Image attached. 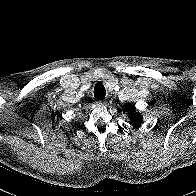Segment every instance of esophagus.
I'll return each instance as SVG.
<instances>
[{"label": "esophagus", "instance_id": "34e87169", "mask_svg": "<svg viewBox=\"0 0 196 196\" xmlns=\"http://www.w3.org/2000/svg\"><path fill=\"white\" fill-rule=\"evenodd\" d=\"M97 103H98V104H104V100H103V99H99V100L97 101Z\"/></svg>", "mask_w": 196, "mask_h": 196}]
</instances>
